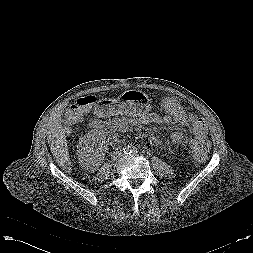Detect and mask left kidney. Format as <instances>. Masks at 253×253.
<instances>
[{"instance_id": "1", "label": "left kidney", "mask_w": 253, "mask_h": 253, "mask_svg": "<svg viewBox=\"0 0 253 253\" xmlns=\"http://www.w3.org/2000/svg\"><path fill=\"white\" fill-rule=\"evenodd\" d=\"M153 140H157L155 137H152Z\"/></svg>"}]
</instances>
